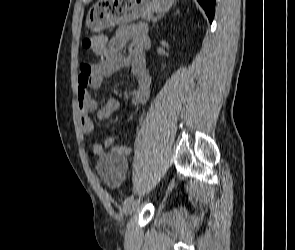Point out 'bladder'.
Segmentation results:
<instances>
[{
  "label": "bladder",
  "mask_w": 295,
  "mask_h": 250,
  "mask_svg": "<svg viewBox=\"0 0 295 250\" xmlns=\"http://www.w3.org/2000/svg\"><path fill=\"white\" fill-rule=\"evenodd\" d=\"M96 169L107 185L116 187L121 183L125 175L126 161L124 157L106 153L97 161Z\"/></svg>",
  "instance_id": "31cf9c89"
}]
</instances>
